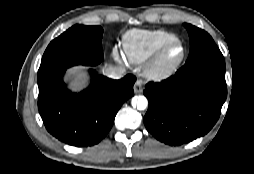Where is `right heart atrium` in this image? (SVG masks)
I'll list each match as a JSON object with an SVG mask.
<instances>
[{"instance_id":"d8ad5b80","label":"right heart atrium","mask_w":254,"mask_h":174,"mask_svg":"<svg viewBox=\"0 0 254 174\" xmlns=\"http://www.w3.org/2000/svg\"><path fill=\"white\" fill-rule=\"evenodd\" d=\"M112 55L115 59H121L122 58V54L120 52V50L118 49V47H113L112 49Z\"/></svg>"}]
</instances>
